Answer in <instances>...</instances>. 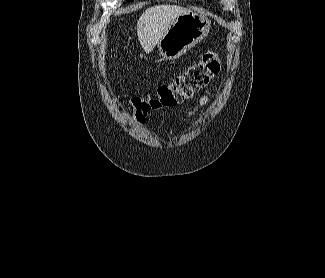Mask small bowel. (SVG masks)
<instances>
[{
	"mask_svg": "<svg viewBox=\"0 0 325 278\" xmlns=\"http://www.w3.org/2000/svg\"><path fill=\"white\" fill-rule=\"evenodd\" d=\"M209 100V96L208 95H204L200 98L198 104L195 106V108L193 109L192 113H195L199 108H201L202 106H204Z\"/></svg>",
	"mask_w": 325,
	"mask_h": 278,
	"instance_id": "1",
	"label": "small bowel"
}]
</instances>
